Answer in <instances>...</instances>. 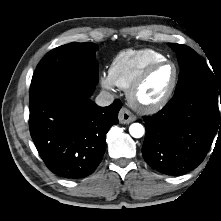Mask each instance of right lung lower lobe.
<instances>
[{"label":"right lung lower lobe","instance_id":"98d812e1","mask_svg":"<svg viewBox=\"0 0 221 221\" xmlns=\"http://www.w3.org/2000/svg\"><path fill=\"white\" fill-rule=\"evenodd\" d=\"M95 82L81 76L54 81L30 99L29 129L46 166L66 179L87 177L106 149L121 103L99 107L89 99Z\"/></svg>","mask_w":221,"mask_h":221}]
</instances>
